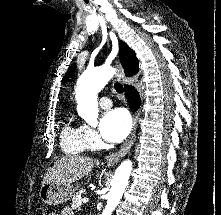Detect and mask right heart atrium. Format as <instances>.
Masks as SVG:
<instances>
[{
	"instance_id": "d8ad5b80",
	"label": "right heart atrium",
	"mask_w": 221,
	"mask_h": 215,
	"mask_svg": "<svg viewBox=\"0 0 221 215\" xmlns=\"http://www.w3.org/2000/svg\"><path fill=\"white\" fill-rule=\"evenodd\" d=\"M82 136L85 142L86 149H94L99 144V138L94 129L88 125L81 126Z\"/></svg>"
}]
</instances>
